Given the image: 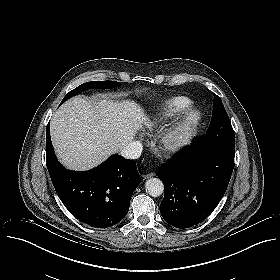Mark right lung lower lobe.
Here are the masks:
<instances>
[{"label": "right lung lower lobe", "mask_w": 280, "mask_h": 280, "mask_svg": "<svg viewBox=\"0 0 280 280\" xmlns=\"http://www.w3.org/2000/svg\"><path fill=\"white\" fill-rule=\"evenodd\" d=\"M46 161L56 193L81 222L107 228L126 216L131 196L140 183L135 161L113 155L92 170L69 171L54 154L49 124L46 129Z\"/></svg>", "instance_id": "1"}]
</instances>
